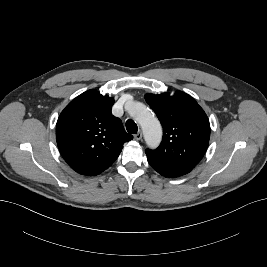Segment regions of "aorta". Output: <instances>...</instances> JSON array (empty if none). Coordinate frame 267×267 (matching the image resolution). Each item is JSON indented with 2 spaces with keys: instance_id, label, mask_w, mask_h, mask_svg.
<instances>
[{
  "instance_id": "aorta-1",
  "label": "aorta",
  "mask_w": 267,
  "mask_h": 267,
  "mask_svg": "<svg viewBox=\"0 0 267 267\" xmlns=\"http://www.w3.org/2000/svg\"><path fill=\"white\" fill-rule=\"evenodd\" d=\"M127 110L142 127L147 144L156 147L162 138V127L158 119L140 102H134Z\"/></svg>"
}]
</instances>
